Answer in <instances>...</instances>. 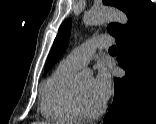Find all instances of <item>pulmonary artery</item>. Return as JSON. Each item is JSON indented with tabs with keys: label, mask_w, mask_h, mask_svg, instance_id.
Listing matches in <instances>:
<instances>
[{
	"label": "pulmonary artery",
	"mask_w": 156,
	"mask_h": 124,
	"mask_svg": "<svg viewBox=\"0 0 156 124\" xmlns=\"http://www.w3.org/2000/svg\"><path fill=\"white\" fill-rule=\"evenodd\" d=\"M111 45L112 39L110 36L99 35L76 47L63 61L68 65L81 68L90 61L97 49L107 48Z\"/></svg>",
	"instance_id": "e3ab8cb5"
}]
</instances>
